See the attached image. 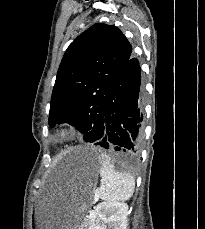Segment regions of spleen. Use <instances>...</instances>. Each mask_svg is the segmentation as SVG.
<instances>
[{"instance_id":"obj_1","label":"spleen","mask_w":205,"mask_h":229,"mask_svg":"<svg viewBox=\"0 0 205 229\" xmlns=\"http://www.w3.org/2000/svg\"><path fill=\"white\" fill-rule=\"evenodd\" d=\"M98 158L101 164V184L95 196L108 202L129 200L135 188L133 176L117 172L106 155L100 154Z\"/></svg>"}]
</instances>
